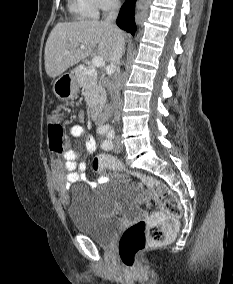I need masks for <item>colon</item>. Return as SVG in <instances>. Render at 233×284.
Segmentation results:
<instances>
[{
    "mask_svg": "<svg viewBox=\"0 0 233 284\" xmlns=\"http://www.w3.org/2000/svg\"><path fill=\"white\" fill-rule=\"evenodd\" d=\"M50 148L58 153L68 150V139L64 128L58 121L48 125ZM93 169L102 176L132 178L140 187L150 188L159 202L160 211L149 219L141 220L127 227L122 233L118 252L122 264L130 270L136 266V257L148 244L164 243L174 234L178 219L181 216V205L174 193L161 181L152 176L128 171L117 159L108 155L94 158Z\"/></svg>",
    "mask_w": 233,
    "mask_h": 284,
    "instance_id": "1",
    "label": "colon"
}]
</instances>
